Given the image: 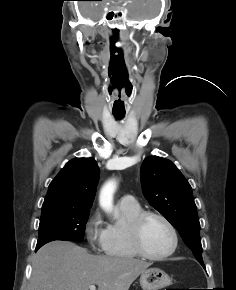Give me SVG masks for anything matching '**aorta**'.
Listing matches in <instances>:
<instances>
[{
  "label": "aorta",
  "mask_w": 236,
  "mask_h": 290,
  "mask_svg": "<svg viewBox=\"0 0 236 290\" xmlns=\"http://www.w3.org/2000/svg\"><path fill=\"white\" fill-rule=\"evenodd\" d=\"M116 190V182L111 180L105 183L100 191L99 203L101 208L111 213L113 211V195Z\"/></svg>",
  "instance_id": "762f6f07"
}]
</instances>
